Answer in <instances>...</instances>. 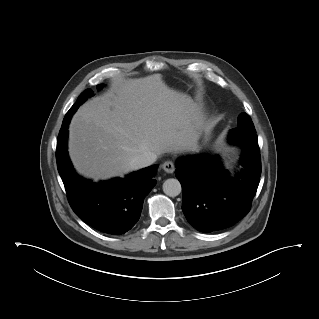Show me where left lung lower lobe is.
I'll list each match as a JSON object with an SVG mask.
<instances>
[{"label":"left lung lower lobe","instance_id":"1","mask_svg":"<svg viewBox=\"0 0 319 319\" xmlns=\"http://www.w3.org/2000/svg\"><path fill=\"white\" fill-rule=\"evenodd\" d=\"M229 141L243 148L245 168L235 178L216 162L204 158L180 159L175 175L182 185V210L197 230L209 233L233 226L250 210L261 176V158L255 131L234 128Z\"/></svg>","mask_w":319,"mask_h":319}]
</instances>
